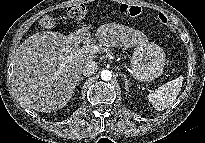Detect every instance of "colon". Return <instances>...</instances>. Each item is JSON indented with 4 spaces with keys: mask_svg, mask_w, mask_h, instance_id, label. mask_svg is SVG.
I'll return each instance as SVG.
<instances>
[{
    "mask_svg": "<svg viewBox=\"0 0 205 143\" xmlns=\"http://www.w3.org/2000/svg\"><path fill=\"white\" fill-rule=\"evenodd\" d=\"M120 12L123 15L134 17L141 13V9L138 6L123 4L120 6ZM67 14L71 19L81 20L86 15V8L83 4H74L68 8ZM159 17L165 24H169L168 20L163 15L160 14ZM55 23L54 16L50 14L44 15L39 22L40 26L44 29H52Z\"/></svg>",
    "mask_w": 205,
    "mask_h": 143,
    "instance_id": "obj_1",
    "label": "colon"
}]
</instances>
